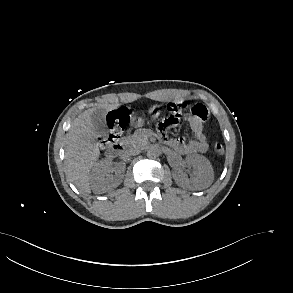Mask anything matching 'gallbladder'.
Segmentation results:
<instances>
[{
  "label": "gallbladder",
  "instance_id": "bac80fb5",
  "mask_svg": "<svg viewBox=\"0 0 293 293\" xmlns=\"http://www.w3.org/2000/svg\"><path fill=\"white\" fill-rule=\"evenodd\" d=\"M105 114H106V111L104 109L98 108L93 112V114L91 116V121H92L93 127H94L96 133H98L100 135H105L107 132Z\"/></svg>",
  "mask_w": 293,
  "mask_h": 293
}]
</instances>
